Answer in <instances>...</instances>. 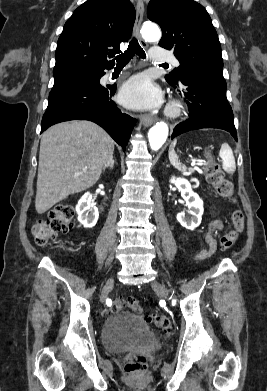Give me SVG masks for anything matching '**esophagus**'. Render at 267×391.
Masks as SVG:
<instances>
[{"instance_id": "obj_1", "label": "esophagus", "mask_w": 267, "mask_h": 391, "mask_svg": "<svg viewBox=\"0 0 267 391\" xmlns=\"http://www.w3.org/2000/svg\"><path fill=\"white\" fill-rule=\"evenodd\" d=\"M143 14H144V4L141 0H139L136 5V20H135V25H134V32H135L136 36L138 37V39L140 40L142 46L147 48L148 47L147 43L141 38V35H140V27H141V23L143 20ZM156 120H157L156 117H152L149 115H142L141 116V121L143 122V124L145 126H149V125L153 124Z\"/></svg>"}]
</instances>
